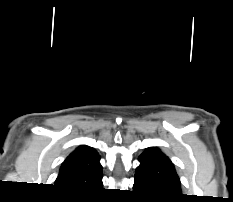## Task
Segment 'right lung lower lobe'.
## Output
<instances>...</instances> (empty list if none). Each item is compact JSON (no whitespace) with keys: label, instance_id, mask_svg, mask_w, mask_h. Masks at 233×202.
<instances>
[{"label":"right lung lower lobe","instance_id":"right-lung-lower-lobe-1","mask_svg":"<svg viewBox=\"0 0 233 202\" xmlns=\"http://www.w3.org/2000/svg\"><path fill=\"white\" fill-rule=\"evenodd\" d=\"M101 189H102V187L99 188L98 190L94 191L93 193L87 194V195H85V196H89V197L94 196V195H96V194L99 192V190H101ZM64 192H65V191H64Z\"/></svg>","mask_w":233,"mask_h":202}]
</instances>
